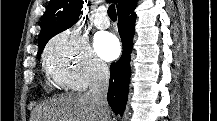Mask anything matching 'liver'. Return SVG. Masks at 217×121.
<instances>
[{
  "mask_svg": "<svg viewBox=\"0 0 217 121\" xmlns=\"http://www.w3.org/2000/svg\"><path fill=\"white\" fill-rule=\"evenodd\" d=\"M34 121H102L98 105L86 94L53 99L36 108Z\"/></svg>",
  "mask_w": 217,
  "mask_h": 121,
  "instance_id": "obj_1",
  "label": "liver"
}]
</instances>
